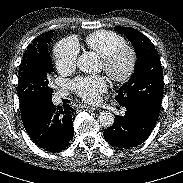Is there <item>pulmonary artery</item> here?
<instances>
[{
  "label": "pulmonary artery",
  "instance_id": "obj_1",
  "mask_svg": "<svg viewBox=\"0 0 183 183\" xmlns=\"http://www.w3.org/2000/svg\"><path fill=\"white\" fill-rule=\"evenodd\" d=\"M64 95H65L64 92H57L55 95V102H58L60 98L63 97Z\"/></svg>",
  "mask_w": 183,
  "mask_h": 183
}]
</instances>
